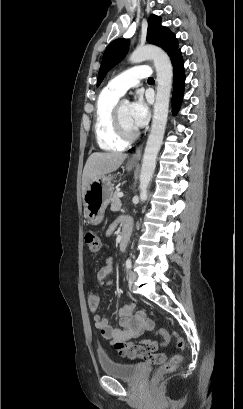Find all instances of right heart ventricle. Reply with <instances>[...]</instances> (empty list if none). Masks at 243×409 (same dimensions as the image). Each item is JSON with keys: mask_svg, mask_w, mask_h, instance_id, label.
<instances>
[{"mask_svg": "<svg viewBox=\"0 0 243 409\" xmlns=\"http://www.w3.org/2000/svg\"><path fill=\"white\" fill-rule=\"evenodd\" d=\"M121 95L105 87L99 94L94 123V133L97 144L105 151H122L126 143L115 134L112 123V114Z\"/></svg>", "mask_w": 243, "mask_h": 409, "instance_id": "obj_1", "label": "right heart ventricle"}]
</instances>
